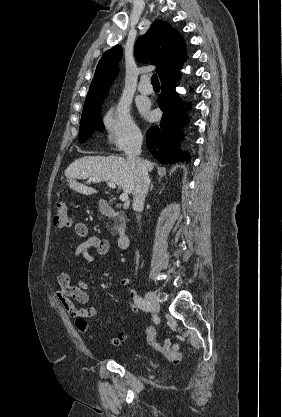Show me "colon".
<instances>
[{
	"mask_svg": "<svg viewBox=\"0 0 282 417\" xmlns=\"http://www.w3.org/2000/svg\"><path fill=\"white\" fill-rule=\"evenodd\" d=\"M53 220L58 227H67L71 223L70 209L67 203L63 200L56 202ZM147 344L151 346L156 352L162 354L166 360L174 365L181 362L182 354L179 346L172 341L166 340L164 343L157 341V329L154 326H149L146 331Z\"/></svg>",
	"mask_w": 282,
	"mask_h": 417,
	"instance_id": "1",
	"label": "colon"
}]
</instances>
